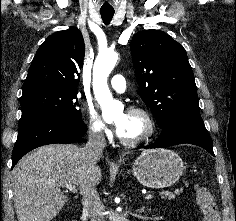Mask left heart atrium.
<instances>
[{"mask_svg":"<svg viewBox=\"0 0 236 221\" xmlns=\"http://www.w3.org/2000/svg\"><path fill=\"white\" fill-rule=\"evenodd\" d=\"M123 120L116 122V131L120 135L123 130Z\"/></svg>","mask_w":236,"mask_h":221,"instance_id":"39dd6f15","label":"left heart atrium"}]
</instances>
